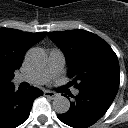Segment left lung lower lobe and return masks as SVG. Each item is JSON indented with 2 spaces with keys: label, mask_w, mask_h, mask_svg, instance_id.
<instances>
[{
  "label": "left lung lower lobe",
  "mask_w": 128,
  "mask_h": 128,
  "mask_svg": "<svg viewBox=\"0 0 128 128\" xmlns=\"http://www.w3.org/2000/svg\"><path fill=\"white\" fill-rule=\"evenodd\" d=\"M118 90L108 87H93L79 90L65 114L57 117L73 128H87L99 120L108 110Z\"/></svg>",
  "instance_id": "0a47b994"
}]
</instances>
